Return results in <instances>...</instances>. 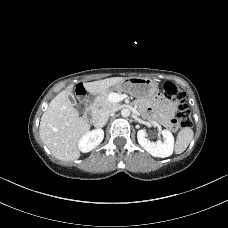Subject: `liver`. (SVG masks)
Segmentation results:
<instances>
[{"mask_svg":"<svg viewBox=\"0 0 228 228\" xmlns=\"http://www.w3.org/2000/svg\"><path fill=\"white\" fill-rule=\"evenodd\" d=\"M124 79L111 77L84 83V88L93 95H101ZM72 90L73 85H70L51 100L39 126L42 142L62 161H73L80 157L78 142L90 130V124L79 116V112L69 100Z\"/></svg>","mask_w":228,"mask_h":228,"instance_id":"obj_1","label":"liver"}]
</instances>
